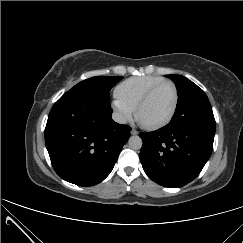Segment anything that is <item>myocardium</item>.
<instances>
[{"mask_svg":"<svg viewBox=\"0 0 243 243\" xmlns=\"http://www.w3.org/2000/svg\"><path fill=\"white\" fill-rule=\"evenodd\" d=\"M170 85L173 89L174 92V103H173V107L172 110L170 112V114L167 116L166 119H164L161 122L155 123V124H143L138 120V115L140 113V111L143 109V107L147 104V102L149 101V99L151 98V96L153 95V93L159 89L161 86L163 85ZM178 103H179V92L178 89L175 85V83L171 80L168 79H163L160 82L154 84L150 89L147 90V92L142 96V98L139 100V102L137 103L135 109H134V117L137 121H139V124L141 125V127H143L146 130L149 131H154V130H159L165 126H167L174 118L176 112H177V108H178Z\"/></svg>","mask_w":243,"mask_h":243,"instance_id":"1","label":"myocardium"}]
</instances>
